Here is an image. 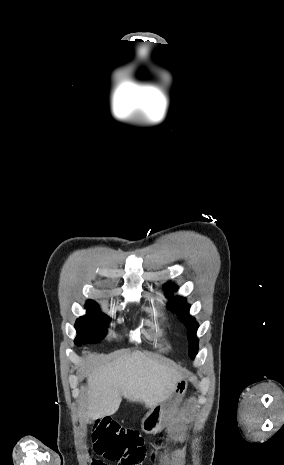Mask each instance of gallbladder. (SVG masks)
Here are the masks:
<instances>
[{"mask_svg": "<svg viewBox=\"0 0 284 465\" xmlns=\"http://www.w3.org/2000/svg\"><path fill=\"white\" fill-rule=\"evenodd\" d=\"M88 423H92L91 419H89Z\"/></svg>", "mask_w": 284, "mask_h": 465, "instance_id": "gallbladder-1", "label": "gallbladder"}]
</instances>
